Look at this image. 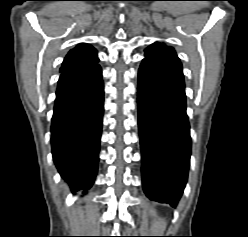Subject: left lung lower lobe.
<instances>
[{
    "mask_svg": "<svg viewBox=\"0 0 248 237\" xmlns=\"http://www.w3.org/2000/svg\"><path fill=\"white\" fill-rule=\"evenodd\" d=\"M138 125L145 194L175 206L190 164L184 78L144 59L138 74Z\"/></svg>",
    "mask_w": 248,
    "mask_h": 237,
    "instance_id": "obj_1",
    "label": "left lung lower lobe"
}]
</instances>
